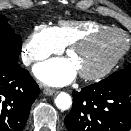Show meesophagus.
<instances>
[{"label":"esophagus","mask_w":131,"mask_h":131,"mask_svg":"<svg viewBox=\"0 0 131 131\" xmlns=\"http://www.w3.org/2000/svg\"><path fill=\"white\" fill-rule=\"evenodd\" d=\"M43 92H44L45 95L51 96V95H53L55 93V90L51 89V88H48V87H45Z\"/></svg>","instance_id":"34e87169"}]
</instances>
